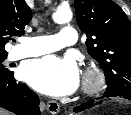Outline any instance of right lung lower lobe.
<instances>
[{"label":"right lung lower lobe","instance_id":"1","mask_svg":"<svg viewBox=\"0 0 131 115\" xmlns=\"http://www.w3.org/2000/svg\"><path fill=\"white\" fill-rule=\"evenodd\" d=\"M0 107L17 115H40L39 97L27 85L16 82L13 72L0 77Z\"/></svg>","mask_w":131,"mask_h":115}]
</instances>
